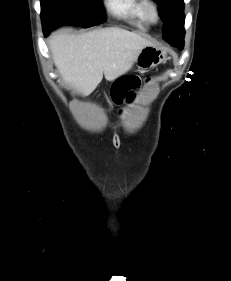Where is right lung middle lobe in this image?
Returning a JSON list of instances; mask_svg holds the SVG:
<instances>
[{
	"label": "right lung middle lobe",
	"mask_w": 231,
	"mask_h": 281,
	"mask_svg": "<svg viewBox=\"0 0 231 281\" xmlns=\"http://www.w3.org/2000/svg\"><path fill=\"white\" fill-rule=\"evenodd\" d=\"M43 28L56 29L64 24L91 27L105 21L101 0H41Z\"/></svg>",
	"instance_id": "dd1d6c3e"
}]
</instances>
